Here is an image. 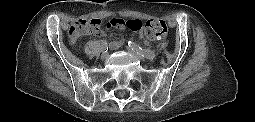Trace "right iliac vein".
Here are the masks:
<instances>
[{
  "instance_id": "right-iliac-vein-1",
  "label": "right iliac vein",
  "mask_w": 255,
  "mask_h": 122,
  "mask_svg": "<svg viewBox=\"0 0 255 122\" xmlns=\"http://www.w3.org/2000/svg\"><path fill=\"white\" fill-rule=\"evenodd\" d=\"M107 56H108V52L107 51H102L101 58L105 59Z\"/></svg>"
}]
</instances>
